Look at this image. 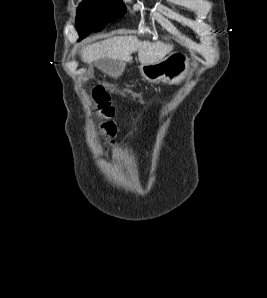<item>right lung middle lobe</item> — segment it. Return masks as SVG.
Instances as JSON below:
<instances>
[{
    "label": "right lung middle lobe",
    "mask_w": 267,
    "mask_h": 298,
    "mask_svg": "<svg viewBox=\"0 0 267 298\" xmlns=\"http://www.w3.org/2000/svg\"><path fill=\"white\" fill-rule=\"evenodd\" d=\"M124 13L122 0H83L76 17L80 39L92 31L102 30L106 24L122 17Z\"/></svg>",
    "instance_id": "1"
}]
</instances>
